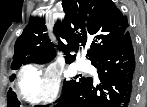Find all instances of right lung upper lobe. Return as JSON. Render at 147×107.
I'll return each mask as SVG.
<instances>
[{
  "label": "right lung upper lobe",
  "instance_id": "obj_1",
  "mask_svg": "<svg viewBox=\"0 0 147 107\" xmlns=\"http://www.w3.org/2000/svg\"><path fill=\"white\" fill-rule=\"evenodd\" d=\"M62 7L66 17L63 22L57 21L53 33L58 41L57 47L65 54L66 63L76 58L70 52L86 44H91L87 58L93 63L127 31V18L112 0H63ZM46 31L44 19H30L15 43L11 66L27 61L43 64L53 60L55 45Z\"/></svg>",
  "mask_w": 147,
  "mask_h": 107
}]
</instances>
